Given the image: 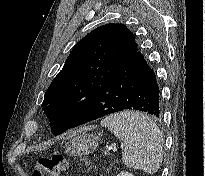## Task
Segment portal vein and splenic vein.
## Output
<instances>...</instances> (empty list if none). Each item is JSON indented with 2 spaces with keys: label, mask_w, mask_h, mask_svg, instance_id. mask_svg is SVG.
Segmentation results:
<instances>
[{
  "label": "portal vein and splenic vein",
  "mask_w": 205,
  "mask_h": 176,
  "mask_svg": "<svg viewBox=\"0 0 205 176\" xmlns=\"http://www.w3.org/2000/svg\"><path fill=\"white\" fill-rule=\"evenodd\" d=\"M112 151H113V152H116V151H117V148H116V147H113V148H112Z\"/></svg>",
  "instance_id": "portal-vein-and-splenic-vein-1"
}]
</instances>
